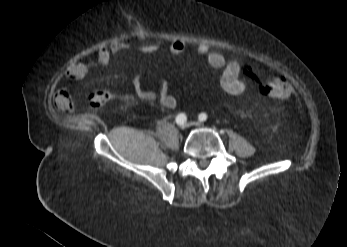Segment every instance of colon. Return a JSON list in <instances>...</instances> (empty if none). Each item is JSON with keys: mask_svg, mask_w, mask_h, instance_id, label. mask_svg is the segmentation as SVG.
Here are the masks:
<instances>
[{"mask_svg": "<svg viewBox=\"0 0 347 247\" xmlns=\"http://www.w3.org/2000/svg\"><path fill=\"white\" fill-rule=\"evenodd\" d=\"M265 89L273 98H286L291 93L290 84L284 77L276 76L269 79ZM109 93L99 90L93 92L89 97V102L93 107H101L109 100Z\"/></svg>", "mask_w": 347, "mask_h": 247, "instance_id": "1", "label": "colon"}]
</instances>
